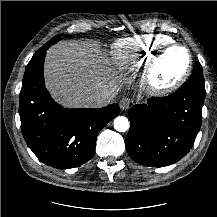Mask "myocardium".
<instances>
[{"mask_svg":"<svg viewBox=\"0 0 217 217\" xmlns=\"http://www.w3.org/2000/svg\"><path fill=\"white\" fill-rule=\"evenodd\" d=\"M183 50L187 55V64L184 70L172 81L159 84L156 81L159 65L163 58L173 50ZM193 67V57L190 50L178 43H171L158 50L148 62L141 78L142 89L150 95H166L177 90L189 77Z\"/></svg>","mask_w":217,"mask_h":217,"instance_id":"myocardium-1","label":"myocardium"}]
</instances>
